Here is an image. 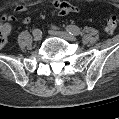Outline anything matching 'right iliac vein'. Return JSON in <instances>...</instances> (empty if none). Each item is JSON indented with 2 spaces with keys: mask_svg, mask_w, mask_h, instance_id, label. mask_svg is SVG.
Wrapping results in <instances>:
<instances>
[{
  "mask_svg": "<svg viewBox=\"0 0 119 119\" xmlns=\"http://www.w3.org/2000/svg\"><path fill=\"white\" fill-rule=\"evenodd\" d=\"M37 30H38V29H37ZM38 31H39V34H38L36 37H33L35 41H39V40L42 39V33H41L40 30H38Z\"/></svg>",
  "mask_w": 119,
  "mask_h": 119,
  "instance_id": "obj_1",
  "label": "right iliac vein"
}]
</instances>
